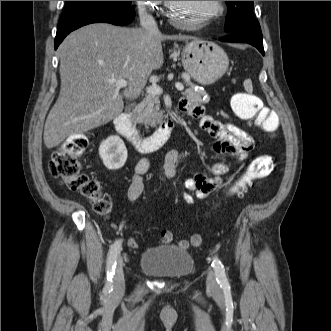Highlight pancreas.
I'll return each instance as SVG.
<instances>
[{"label": "pancreas", "instance_id": "1", "mask_svg": "<svg viewBox=\"0 0 331 331\" xmlns=\"http://www.w3.org/2000/svg\"><path fill=\"white\" fill-rule=\"evenodd\" d=\"M184 79L189 78V75L186 73L182 74ZM188 88L184 92L186 97L196 103H207L209 97L203 100L204 96H207L205 92L196 91V85L190 81H186ZM134 118L137 122H142L152 127L156 124L161 123L163 113L160 110V100L157 94H148L145 99L136 106L134 110Z\"/></svg>", "mask_w": 331, "mask_h": 331}]
</instances>
